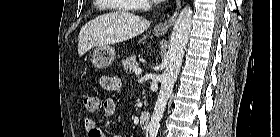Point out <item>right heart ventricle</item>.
<instances>
[{
	"mask_svg": "<svg viewBox=\"0 0 280 137\" xmlns=\"http://www.w3.org/2000/svg\"><path fill=\"white\" fill-rule=\"evenodd\" d=\"M96 1H102V0H96ZM120 1H127V2H134L135 3V1H133V0H120ZM119 9L126 10L125 8H119Z\"/></svg>",
	"mask_w": 280,
	"mask_h": 137,
	"instance_id": "obj_1",
	"label": "right heart ventricle"
}]
</instances>
